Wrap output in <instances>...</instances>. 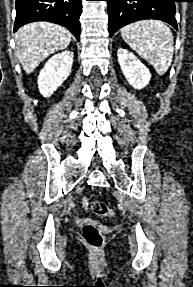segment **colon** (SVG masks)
Returning a JSON list of instances; mask_svg holds the SVG:
<instances>
[{
	"instance_id": "1",
	"label": "colon",
	"mask_w": 193,
	"mask_h": 287,
	"mask_svg": "<svg viewBox=\"0 0 193 287\" xmlns=\"http://www.w3.org/2000/svg\"><path fill=\"white\" fill-rule=\"evenodd\" d=\"M82 203L84 207L90 209L92 212L99 216H114V211L100 201L90 200L89 198H83ZM82 239L87 246L93 250H98L103 246L104 236L100 229L92 224L87 223L82 228Z\"/></svg>"
}]
</instances>
